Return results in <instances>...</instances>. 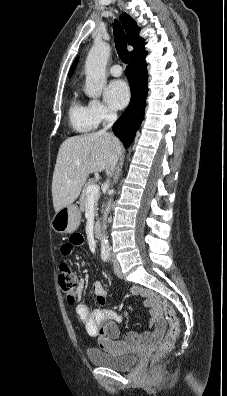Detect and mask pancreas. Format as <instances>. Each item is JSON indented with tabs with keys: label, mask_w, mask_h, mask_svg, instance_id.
<instances>
[{
	"label": "pancreas",
	"mask_w": 227,
	"mask_h": 396,
	"mask_svg": "<svg viewBox=\"0 0 227 396\" xmlns=\"http://www.w3.org/2000/svg\"><path fill=\"white\" fill-rule=\"evenodd\" d=\"M94 182L93 181H89L85 184L84 188L82 189V194L80 196V210L84 211L85 207H86V203H87V199H88V194L86 193V190L88 188V186L93 185ZM100 195L97 194L96 196H94V213L97 216V206H98V200H99Z\"/></svg>",
	"instance_id": "obj_1"
}]
</instances>
